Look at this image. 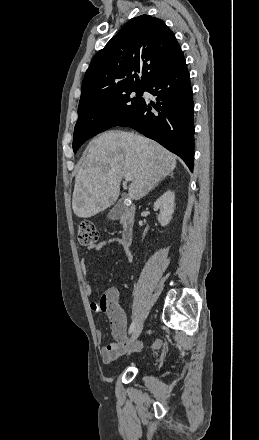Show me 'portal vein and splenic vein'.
Instances as JSON below:
<instances>
[{
    "instance_id": "portal-vein-and-splenic-vein-1",
    "label": "portal vein and splenic vein",
    "mask_w": 259,
    "mask_h": 440,
    "mask_svg": "<svg viewBox=\"0 0 259 440\" xmlns=\"http://www.w3.org/2000/svg\"><path fill=\"white\" fill-rule=\"evenodd\" d=\"M124 177L126 181H131L133 179L131 174H126Z\"/></svg>"
}]
</instances>
